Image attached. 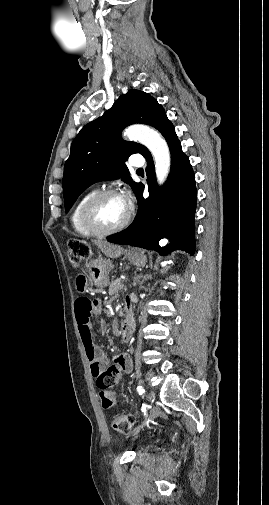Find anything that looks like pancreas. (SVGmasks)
<instances>
[{"instance_id":"1","label":"pancreas","mask_w":269,"mask_h":505,"mask_svg":"<svg viewBox=\"0 0 269 505\" xmlns=\"http://www.w3.org/2000/svg\"><path fill=\"white\" fill-rule=\"evenodd\" d=\"M122 286H123L122 280L120 278L112 281L109 286V294L114 295V294L118 293V291L122 289Z\"/></svg>"}]
</instances>
